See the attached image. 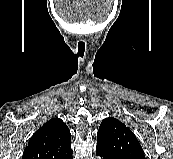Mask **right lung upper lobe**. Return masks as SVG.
I'll list each match as a JSON object with an SVG mask.
<instances>
[{
  "label": "right lung upper lobe",
  "mask_w": 173,
  "mask_h": 159,
  "mask_svg": "<svg viewBox=\"0 0 173 159\" xmlns=\"http://www.w3.org/2000/svg\"><path fill=\"white\" fill-rule=\"evenodd\" d=\"M72 152L69 128L54 118L33 134L22 159H63Z\"/></svg>",
  "instance_id": "cb5924a9"
}]
</instances>
